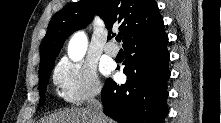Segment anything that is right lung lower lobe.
<instances>
[{
    "instance_id": "98d812e1",
    "label": "right lung lower lobe",
    "mask_w": 221,
    "mask_h": 123,
    "mask_svg": "<svg viewBox=\"0 0 221 123\" xmlns=\"http://www.w3.org/2000/svg\"><path fill=\"white\" fill-rule=\"evenodd\" d=\"M168 37L165 31L133 42L125 49L127 81L107 79L102 89L103 112L120 123H165L168 115Z\"/></svg>"
}]
</instances>
